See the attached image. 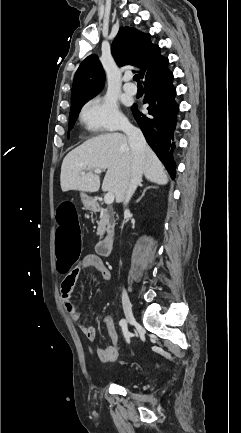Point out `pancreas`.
<instances>
[{
  "label": "pancreas",
  "mask_w": 241,
  "mask_h": 433,
  "mask_svg": "<svg viewBox=\"0 0 241 433\" xmlns=\"http://www.w3.org/2000/svg\"><path fill=\"white\" fill-rule=\"evenodd\" d=\"M112 217L108 213L107 209H101L100 220L98 222L97 235L102 238L105 231L110 232V229L113 228L112 225Z\"/></svg>",
  "instance_id": "obj_1"
}]
</instances>
